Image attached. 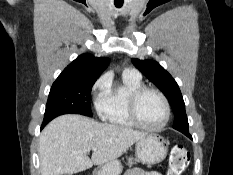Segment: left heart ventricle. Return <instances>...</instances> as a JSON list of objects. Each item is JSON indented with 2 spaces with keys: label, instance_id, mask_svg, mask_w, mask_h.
Masks as SVG:
<instances>
[{
  "label": "left heart ventricle",
  "instance_id": "obj_1",
  "mask_svg": "<svg viewBox=\"0 0 233 175\" xmlns=\"http://www.w3.org/2000/svg\"><path fill=\"white\" fill-rule=\"evenodd\" d=\"M140 120L148 126H158L165 117V109L160 97L153 92L144 93L138 102Z\"/></svg>",
  "mask_w": 233,
  "mask_h": 175
}]
</instances>
